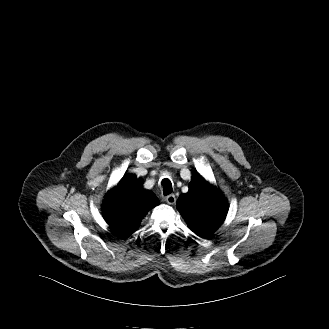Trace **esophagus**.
Here are the masks:
<instances>
[{"label":"esophagus","mask_w":329,"mask_h":329,"mask_svg":"<svg viewBox=\"0 0 329 329\" xmlns=\"http://www.w3.org/2000/svg\"><path fill=\"white\" fill-rule=\"evenodd\" d=\"M165 201H166L168 204L173 205V204H175V202H176V197H175L174 194H169V195H167V196L165 197Z\"/></svg>","instance_id":"obj_1"}]
</instances>
